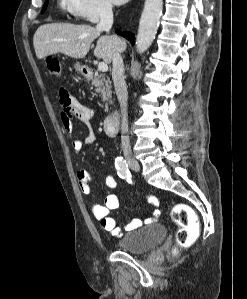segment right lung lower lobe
Returning a JSON list of instances; mask_svg holds the SVG:
<instances>
[{
	"instance_id": "98d812e1",
	"label": "right lung lower lobe",
	"mask_w": 247,
	"mask_h": 299,
	"mask_svg": "<svg viewBox=\"0 0 247 299\" xmlns=\"http://www.w3.org/2000/svg\"><path fill=\"white\" fill-rule=\"evenodd\" d=\"M117 34H119L122 37L126 38L127 40H129L134 45L135 35L133 33L117 31Z\"/></svg>"
}]
</instances>
